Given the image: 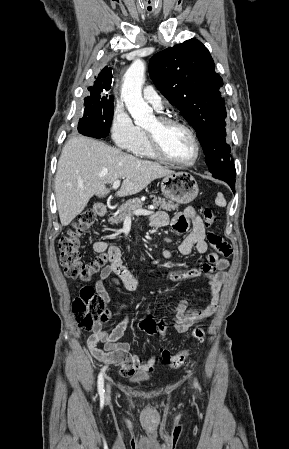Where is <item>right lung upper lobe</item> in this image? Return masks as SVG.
I'll use <instances>...</instances> for the list:
<instances>
[{
  "label": "right lung upper lobe",
  "instance_id": "obj_1",
  "mask_svg": "<svg viewBox=\"0 0 289 449\" xmlns=\"http://www.w3.org/2000/svg\"><path fill=\"white\" fill-rule=\"evenodd\" d=\"M112 83V72L111 68H108L107 66L101 71V73L98 75L96 81L94 82V86L89 87L88 90L90 91V96H96L101 95V93L105 90L108 91L111 87ZM106 98H113L112 96H104Z\"/></svg>",
  "mask_w": 289,
  "mask_h": 449
}]
</instances>
